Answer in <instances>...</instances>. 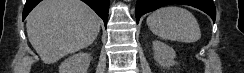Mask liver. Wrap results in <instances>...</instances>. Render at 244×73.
<instances>
[{
    "label": "liver",
    "instance_id": "6515ba94",
    "mask_svg": "<svg viewBox=\"0 0 244 73\" xmlns=\"http://www.w3.org/2000/svg\"><path fill=\"white\" fill-rule=\"evenodd\" d=\"M26 20L29 41L46 64L91 45L101 23L80 0H43Z\"/></svg>",
    "mask_w": 244,
    "mask_h": 73
}]
</instances>
